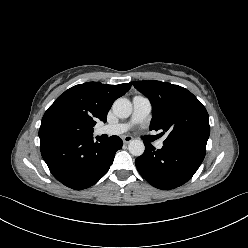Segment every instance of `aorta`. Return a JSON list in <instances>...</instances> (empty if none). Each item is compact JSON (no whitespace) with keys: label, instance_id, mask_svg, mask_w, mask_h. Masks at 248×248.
<instances>
[{"label":"aorta","instance_id":"1","mask_svg":"<svg viewBox=\"0 0 248 248\" xmlns=\"http://www.w3.org/2000/svg\"><path fill=\"white\" fill-rule=\"evenodd\" d=\"M114 114L119 118H127L132 113V104L126 98H118L112 106ZM129 152L134 156H141L144 153L145 146L141 140H132L128 145Z\"/></svg>","mask_w":248,"mask_h":248}]
</instances>
